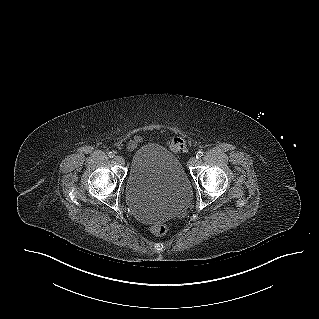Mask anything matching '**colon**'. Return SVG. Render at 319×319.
<instances>
[{
    "label": "colon",
    "mask_w": 319,
    "mask_h": 319,
    "mask_svg": "<svg viewBox=\"0 0 319 319\" xmlns=\"http://www.w3.org/2000/svg\"><path fill=\"white\" fill-rule=\"evenodd\" d=\"M170 147L175 150V151H180L185 147V141L184 139L180 137H173L170 140ZM169 229L168 224L165 223H159V224H154L148 227V232H150L153 235L156 236H161L164 235Z\"/></svg>",
    "instance_id": "obj_1"
}]
</instances>
